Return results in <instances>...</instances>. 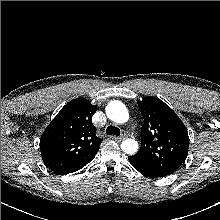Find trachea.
Returning <instances> with one entry per match:
<instances>
[{
	"instance_id": "trachea-1",
	"label": "trachea",
	"mask_w": 220,
	"mask_h": 220,
	"mask_svg": "<svg viewBox=\"0 0 220 220\" xmlns=\"http://www.w3.org/2000/svg\"><path fill=\"white\" fill-rule=\"evenodd\" d=\"M106 134L107 135H116V136H120L121 132L120 129L115 127V126H108L106 129Z\"/></svg>"
}]
</instances>
